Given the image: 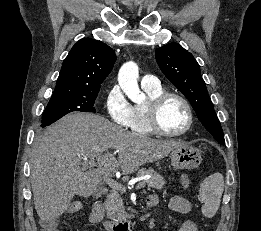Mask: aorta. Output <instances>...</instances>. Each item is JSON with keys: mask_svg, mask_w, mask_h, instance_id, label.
<instances>
[{"mask_svg": "<svg viewBox=\"0 0 261 231\" xmlns=\"http://www.w3.org/2000/svg\"><path fill=\"white\" fill-rule=\"evenodd\" d=\"M138 75V66L132 61L125 63L118 73V83L121 89L135 103L144 101L146 97L139 89Z\"/></svg>", "mask_w": 261, "mask_h": 231, "instance_id": "1", "label": "aorta"}]
</instances>
